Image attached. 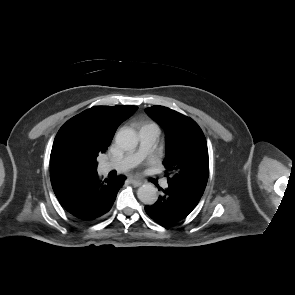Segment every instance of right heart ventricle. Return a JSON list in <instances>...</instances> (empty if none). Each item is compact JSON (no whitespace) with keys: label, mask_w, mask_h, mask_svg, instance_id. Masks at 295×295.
I'll list each match as a JSON object with an SVG mask.
<instances>
[{"label":"right heart ventricle","mask_w":295,"mask_h":295,"mask_svg":"<svg viewBox=\"0 0 295 295\" xmlns=\"http://www.w3.org/2000/svg\"><path fill=\"white\" fill-rule=\"evenodd\" d=\"M146 127H150L152 129H154L157 133H159V129H158V126L154 123H148L145 125Z\"/></svg>","instance_id":"1"}]
</instances>
